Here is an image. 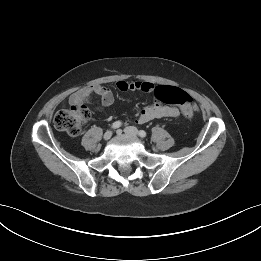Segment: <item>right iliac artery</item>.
Wrapping results in <instances>:
<instances>
[{"mask_svg":"<svg viewBox=\"0 0 261 261\" xmlns=\"http://www.w3.org/2000/svg\"><path fill=\"white\" fill-rule=\"evenodd\" d=\"M122 125V123L120 121H116L112 124V128L113 129H117Z\"/></svg>","mask_w":261,"mask_h":261,"instance_id":"1","label":"right iliac artery"}]
</instances>
